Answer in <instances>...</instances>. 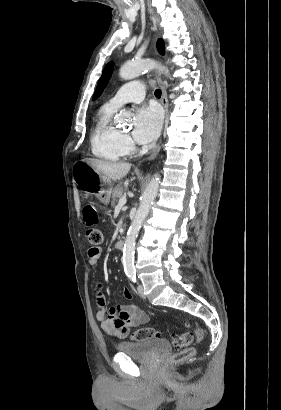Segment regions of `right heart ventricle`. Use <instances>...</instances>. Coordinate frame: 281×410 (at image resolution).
I'll return each instance as SVG.
<instances>
[{"label": "right heart ventricle", "instance_id": "e07e8e85", "mask_svg": "<svg viewBox=\"0 0 281 410\" xmlns=\"http://www.w3.org/2000/svg\"><path fill=\"white\" fill-rule=\"evenodd\" d=\"M114 112L115 110L103 106L98 112L90 136L93 155L108 162L122 160L128 154L122 133L111 123Z\"/></svg>", "mask_w": 281, "mask_h": 410}]
</instances>
